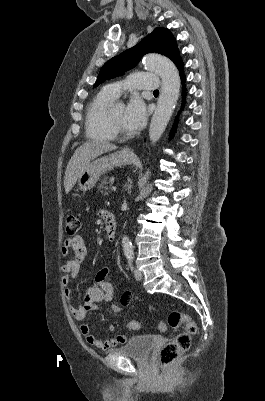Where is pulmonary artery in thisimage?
<instances>
[{"instance_id": "e3ab8cb5", "label": "pulmonary artery", "mask_w": 265, "mask_h": 401, "mask_svg": "<svg viewBox=\"0 0 265 401\" xmlns=\"http://www.w3.org/2000/svg\"><path fill=\"white\" fill-rule=\"evenodd\" d=\"M124 88H132V93H137L139 90H156L158 87L159 77L153 75L152 72H138L137 75L126 77ZM134 84V88H133ZM108 92L114 97H118L122 91L121 83L109 85Z\"/></svg>"}]
</instances>
